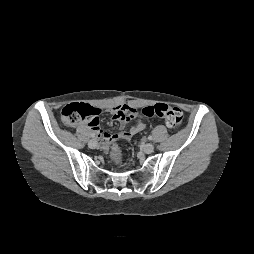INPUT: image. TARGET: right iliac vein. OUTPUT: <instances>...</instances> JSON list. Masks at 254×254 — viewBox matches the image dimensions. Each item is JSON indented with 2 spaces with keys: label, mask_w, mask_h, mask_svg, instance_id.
<instances>
[{
  "label": "right iliac vein",
  "mask_w": 254,
  "mask_h": 254,
  "mask_svg": "<svg viewBox=\"0 0 254 254\" xmlns=\"http://www.w3.org/2000/svg\"><path fill=\"white\" fill-rule=\"evenodd\" d=\"M88 146L92 149L96 148L98 146V142L95 139H92L88 142Z\"/></svg>",
  "instance_id": "obj_1"
}]
</instances>
